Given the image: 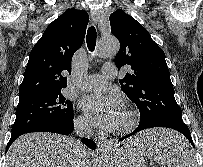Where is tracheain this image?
<instances>
[{"label":"trachea","mask_w":203,"mask_h":167,"mask_svg":"<svg viewBox=\"0 0 203 167\" xmlns=\"http://www.w3.org/2000/svg\"><path fill=\"white\" fill-rule=\"evenodd\" d=\"M97 33L94 26H90L87 30L86 42L88 49L93 52L96 46Z\"/></svg>","instance_id":"1"}]
</instances>
